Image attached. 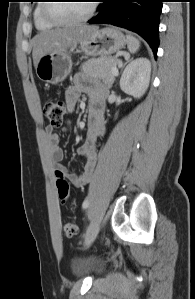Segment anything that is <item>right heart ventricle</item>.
<instances>
[{"instance_id":"e07e8e85","label":"right heart ventricle","mask_w":195,"mask_h":299,"mask_svg":"<svg viewBox=\"0 0 195 299\" xmlns=\"http://www.w3.org/2000/svg\"><path fill=\"white\" fill-rule=\"evenodd\" d=\"M43 2H45V1L39 0L38 3H36V6L33 11L34 25L38 30H42V31L52 29L53 27L56 26V25L48 22L44 18L43 14H42V7L44 4Z\"/></svg>"}]
</instances>
